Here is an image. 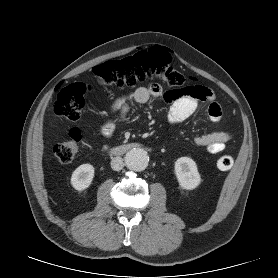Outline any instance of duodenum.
<instances>
[{
  "instance_id": "410a0bca",
  "label": "duodenum",
  "mask_w": 278,
  "mask_h": 278,
  "mask_svg": "<svg viewBox=\"0 0 278 278\" xmlns=\"http://www.w3.org/2000/svg\"><path fill=\"white\" fill-rule=\"evenodd\" d=\"M141 145L139 144H127V145H121V146H117L114 147L110 150V153L113 155H120L123 154L125 152H127L128 150L131 149H135V148H140Z\"/></svg>"
}]
</instances>
